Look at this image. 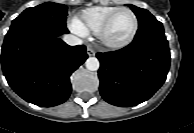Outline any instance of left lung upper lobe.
Masks as SVG:
<instances>
[{
	"label": "left lung upper lobe",
	"mask_w": 194,
	"mask_h": 133,
	"mask_svg": "<svg viewBox=\"0 0 194 133\" xmlns=\"http://www.w3.org/2000/svg\"><path fill=\"white\" fill-rule=\"evenodd\" d=\"M129 6L137 16L139 26L156 20V18L148 10L136 7L134 5Z\"/></svg>",
	"instance_id": "1"
}]
</instances>
